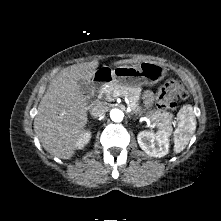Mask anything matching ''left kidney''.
<instances>
[{"instance_id": "5707ae66", "label": "left kidney", "mask_w": 221, "mask_h": 221, "mask_svg": "<svg viewBox=\"0 0 221 221\" xmlns=\"http://www.w3.org/2000/svg\"><path fill=\"white\" fill-rule=\"evenodd\" d=\"M140 148L151 157H164L169 153V139L166 135H156L150 131H141L137 136Z\"/></svg>"}]
</instances>
